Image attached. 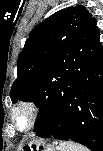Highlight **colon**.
<instances>
[{"mask_svg":"<svg viewBox=\"0 0 103 151\" xmlns=\"http://www.w3.org/2000/svg\"><path fill=\"white\" fill-rule=\"evenodd\" d=\"M24 151H31V150L29 148H25ZM34 151H36V150H34Z\"/></svg>","mask_w":103,"mask_h":151,"instance_id":"obj_1","label":"colon"}]
</instances>
